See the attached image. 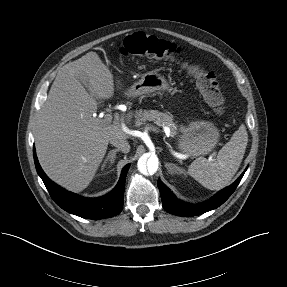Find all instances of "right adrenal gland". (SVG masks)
Masks as SVG:
<instances>
[{"label": "right adrenal gland", "instance_id": "obj_1", "mask_svg": "<svg viewBox=\"0 0 287 287\" xmlns=\"http://www.w3.org/2000/svg\"><path fill=\"white\" fill-rule=\"evenodd\" d=\"M118 151H119V149H113V150L109 151V153H108V155H107V157L104 160V163L102 165V170L105 168L108 161H110L109 168L112 166V164L114 163L115 158H116V153Z\"/></svg>", "mask_w": 287, "mask_h": 287}]
</instances>
